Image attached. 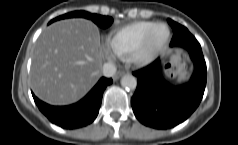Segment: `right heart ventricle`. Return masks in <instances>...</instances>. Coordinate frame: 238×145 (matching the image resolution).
I'll return each instance as SVG.
<instances>
[{"label": "right heart ventricle", "instance_id": "e07e8e85", "mask_svg": "<svg viewBox=\"0 0 238 145\" xmlns=\"http://www.w3.org/2000/svg\"><path fill=\"white\" fill-rule=\"evenodd\" d=\"M155 23L139 21L112 30L106 39L110 51L118 57L129 55Z\"/></svg>", "mask_w": 238, "mask_h": 145}]
</instances>
